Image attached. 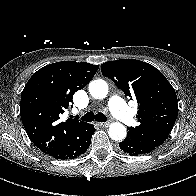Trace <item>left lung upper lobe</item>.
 Here are the masks:
<instances>
[{
	"mask_svg": "<svg viewBox=\"0 0 196 196\" xmlns=\"http://www.w3.org/2000/svg\"><path fill=\"white\" fill-rule=\"evenodd\" d=\"M102 74L126 94L136 98L138 126L127 135L158 147L170 134L178 115L177 96L166 77L154 66L135 59L105 62Z\"/></svg>",
	"mask_w": 196,
	"mask_h": 196,
	"instance_id": "1",
	"label": "left lung upper lobe"
}]
</instances>
